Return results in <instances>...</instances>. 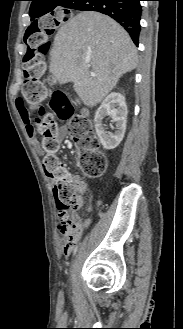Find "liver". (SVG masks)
I'll return each mask as SVG.
<instances>
[{"mask_svg":"<svg viewBox=\"0 0 183 329\" xmlns=\"http://www.w3.org/2000/svg\"><path fill=\"white\" fill-rule=\"evenodd\" d=\"M136 66L137 51L128 33L110 17L88 11L58 30L49 72L60 84L73 82L83 103L94 107Z\"/></svg>","mask_w":183,"mask_h":329,"instance_id":"obj_1","label":"liver"}]
</instances>
